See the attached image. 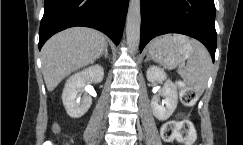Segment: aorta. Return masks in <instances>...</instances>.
Wrapping results in <instances>:
<instances>
[{
	"mask_svg": "<svg viewBox=\"0 0 243 145\" xmlns=\"http://www.w3.org/2000/svg\"><path fill=\"white\" fill-rule=\"evenodd\" d=\"M140 9V0H130L126 20V40L132 53L137 51L140 42Z\"/></svg>",
	"mask_w": 243,
	"mask_h": 145,
	"instance_id": "obj_1",
	"label": "aorta"
}]
</instances>
